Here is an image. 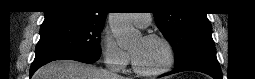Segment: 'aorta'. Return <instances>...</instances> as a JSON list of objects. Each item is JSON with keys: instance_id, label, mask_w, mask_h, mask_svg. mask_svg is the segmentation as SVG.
<instances>
[{"instance_id": "obj_1", "label": "aorta", "mask_w": 255, "mask_h": 79, "mask_svg": "<svg viewBox=\"0 0 255 79\" xmlns=\"http://www.w3.org/2000/svg\"><path fill=\"white\" fill-rule=\"evenodd\" d=\"M110 27L120 47H128L140 37V33L131 25L126 13H112Z\"/></svg>"}]
</instances>
